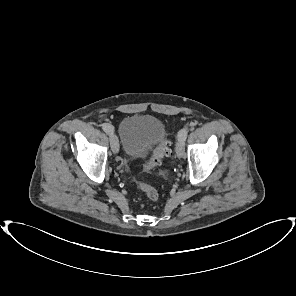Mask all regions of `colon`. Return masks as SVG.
Segmentation results:
<instances>
[{"mask_svg": "<svg viewBox=\"0 0 296 296\" xmlns=\"http://www.w3.org/2000/svg\"><path fill=\"white\" fill-rule=\"evenodd\" d=\"M170 153L169 141L167 139L162 140L154 149L153 154L145 164V168L152 169L158 166L161 163V160L164 157L169 156ZM137 187L143 191L150 200L155 201L158 199V191L153 186L144 182H137Z\"/></svg>", "mask_w": 296, "mask_h": 296, "instance_id": "5ec220e1", "label": "colon"}]
</instances>
